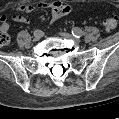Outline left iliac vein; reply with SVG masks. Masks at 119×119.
I'll list each match as a JSON object with an SVG mask.
<instances>
[{
  "label": "left iliac vein",
  "instance_id": "left-iliac-vein-1",
  "mask_svg": "<svg viewBox=\"0 0 119 119\" xmlns=\"http://www.w3.org/2000/svg\"><path fill=\"white\" fill-rule=\"evenodd\" d=\"M61 36L66 38V39H69V40H72V41H75L77 43L80 42V40L78 38H75L72 34L70 33H61Z\"/></svg>",
  "mask_w": 119,
  "mask_h": 119
}]
</instances>
